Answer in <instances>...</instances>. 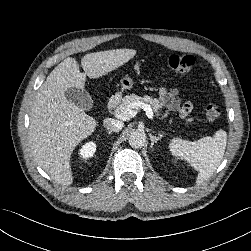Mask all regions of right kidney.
I'll return each mask as SVG.
<instances>
[{
	"label": "right kidney",
	"mask_w": 251,
	"mask_h": 251,
	"mask_svg": "<svg viewBox=\"0 0 251 251\" xmlns=\"http://www.w3.org/2000/svg\"><path fill=\"white\" fill-rule=\"evenodd\" d=\"M96 151V144L92 141L85 143L79 150V155L82 159H89Z\"/></svg>",
	"instance_id": "ca27d5eb"
}]
</instances>
